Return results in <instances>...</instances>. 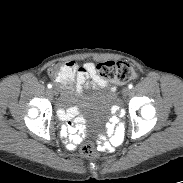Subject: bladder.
Instances as JSON below:
<instances>
[{"label":"bladder","mask_w":183,"mask_h":183,"mask_svg":"<svg viewBox=\"0 0 183 183\" xmlns=\"http://www.w3.org/2000/svg\"><path fill=\"white\" fill-rule=\"evenodd\" d=\"M82 113L90 117L106 115L116 104V94L107 86H92L76 98Z\"/></svg>","instance_id":"obj_1"}]
</instances>
